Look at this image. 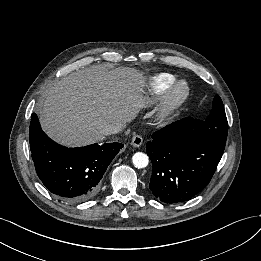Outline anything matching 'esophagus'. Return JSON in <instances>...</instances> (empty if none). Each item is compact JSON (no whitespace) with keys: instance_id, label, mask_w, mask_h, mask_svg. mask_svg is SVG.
<instances>
[{"instance_id":"obj_1","label":"esophagus","mask_w":261,"mask_h":261,"mask_svg":"<svg viewBox=\"0 0 261 261\" xmlns=\"http://www.w3.org/2000/svg\"><path fill=\"white\" fill-rule=\"evenodd\" d=\"M142 143H143V138L138 134L134 135L131 139V144L134 147H140Z\"/></svg>"}]
</instances>
